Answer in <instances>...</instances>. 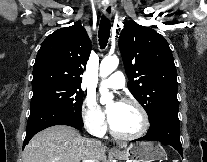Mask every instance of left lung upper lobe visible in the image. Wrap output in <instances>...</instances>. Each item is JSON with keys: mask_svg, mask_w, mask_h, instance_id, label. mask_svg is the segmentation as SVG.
<instances>
[{"mask_svg": "<svg viewBox=\"0 0 207 162\" xmlns=\"http://www.w3.org/2000/svg\"><path fill=\"white\" fill-rule=\"evenodd\" d=\"M119 49L129 78L128 88L149 120L161 111L178 110L177 72L165 38L130 20L120 33Z\"/></svg>", "mask_w": 207, "mask_h": 162, "instance_id": "1", "label": "left lung upper lobe"}]
</instances>
